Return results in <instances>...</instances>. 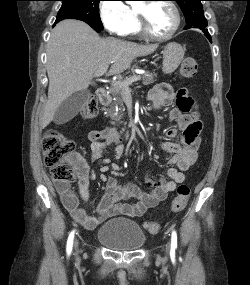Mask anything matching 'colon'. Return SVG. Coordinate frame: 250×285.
I'll list each match as a JSON object with an SVG mask.
<instances>
[{
	"label": "colon",
	"instance_id": "1",
	"mask_svg": "<svg viewBox=\"0 0 250 285\" xmlns=\"http://www.w3.org/2000/svg\"><path fill=\"white\" fill-rule=\"evenodd\" d=\"M180 75L184 78H193L198 71L197 61L192 57H186L180 65ZM186 110L192 115H196L197 106L188 97L185 103ZM97 112V105L94 99H89L81 109L84 118H93ZM74 143L69 138L56 130L46 132L43 140L44 163L50 168L52 178L57 182H71L74 180L73 167ZM191 190L187 185H180L177 195L172 200V211H182L189 200ZM144 228L150 234H157L160 231V224L156 221H145Z\"/></svg>",
	"mask_w": 250,
	"mask_h": 285
}]
</instances>
